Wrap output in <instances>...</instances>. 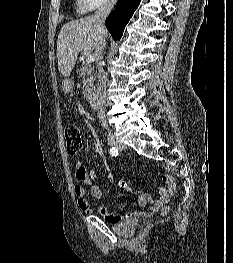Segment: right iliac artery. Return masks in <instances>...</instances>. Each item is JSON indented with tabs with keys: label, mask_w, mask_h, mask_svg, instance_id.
Segmentation results:
<instances>
[{
	"label": "right iliac artery",
	"mask_w": 233,
	"mask_h": 263,
	"mask_svg": "<svg viewBox=\"0 0 233 263\" xmlns=\"http://www.w3.org/2000/svg\"><path fill=\"white\" fill-rule=\"evenodd\" d=\"M109 154L111 156L116 157L119 154V151H118V149L116 147H112V148L109 149Z\"/></svg>",
	"instance_id": "82829eb1"
}]
</instances>
